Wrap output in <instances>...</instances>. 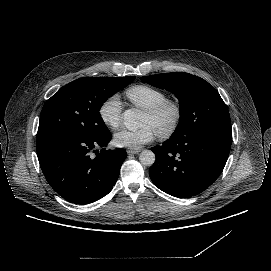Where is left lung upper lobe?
<instances>
[{"mask_svg": "<svg viewBox=\"0 0 271 271\" xmlns=\"http://www.w3.org/2000/svg\"><path fill=\"white\" fill-rule=\"evenodd\" d=\"M142 82L174 93L181 101V120L172 136L206 127L231 128L226 104L204 79L184 72L145 76ZM171 136V137H172Z\"/></svg>", "mask_w": 271, "mask_h": 271, "instance_id": "5c2ea615", "label": "left lung upper lobe"}]
</instances>
